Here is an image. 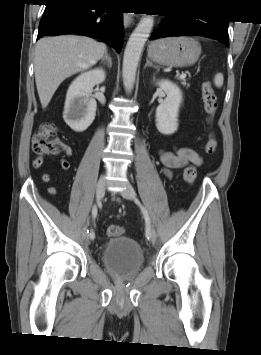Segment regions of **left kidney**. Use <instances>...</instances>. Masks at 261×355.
Here are the masks:
<instances>
[{
	"mask_svg": "<svg viewBox=\"0 0 261 355\" xmlns=\"http://www.w3.org/2000/svg\"><path fill=\"white\" fill-rule=\"evenodd\" d=\"M157 85L165 92L166 98L156 109V127L164 135L173 134L178 129V114L182 103V92L168 80H161Z\"/></svg>",
	"mask_w": 261,
	"mask_h": 355,
	"instance_id": "5707ae66",
	"label": "left kidney"
}]
</instances>
